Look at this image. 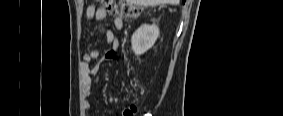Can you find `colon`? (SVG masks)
<instances>
[{"label": "colon", "mask_w": 283, "mask_h": 116, "mask_svg": "<svg viewBox=\"0 0 283 116\" xmlns=\"http://www.w3.org/2000/svg\"><path fill=\"white\" fill-rule=\"evenodd\" d=\"M102 2L110 13L123 18L135 19L140 14V8L130 0H103ZM135 112L136 107L130 105L124 109L122 115L133 116L135 115Z\"/></svg>", "instance_id": "1"}]
</instances>
